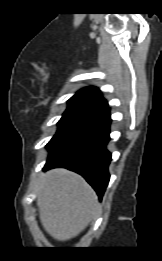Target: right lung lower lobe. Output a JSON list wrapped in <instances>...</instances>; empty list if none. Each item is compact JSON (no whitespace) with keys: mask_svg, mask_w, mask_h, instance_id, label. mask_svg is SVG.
<instances>
[{"mask_svg":"<svg viewBox=\"0 0 162 261\" xmlns=\"http://www.w3.org/2000/svg\"><path fill=\"white\" fill-rule=\"evenodd\" d=\"M110 108L107 106L58 131L47 144L49 157L44 170L64 167L82 175L100 199L108 185L111 153Z\"/></svg>","mask_w":162,"mask_h":261,"instance_id":"obj_1","label":"right lung lower lobe"}]
</instances>
